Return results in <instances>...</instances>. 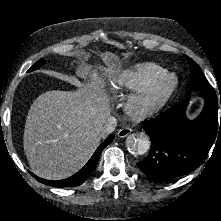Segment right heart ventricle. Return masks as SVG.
I'll use <instances>...</instances> for the list:
<instances>
[{"label": "right heart ventricle", "instance_id": "right-heart-ventricle-1", "mask_svg": "<svg viewBox=\"0 0 221 221\" xmlns=\"http://www.w3.org/2000/svg\"><path fill=\"white\" fill-rule=\"evenodd\" d=\"M166 74L167 70L161 66L142 63L116 73L111 79V84L115 89L140 91Z\"/></svg>", "mask_w": 221, "mask_h": 221}]
</instances>
